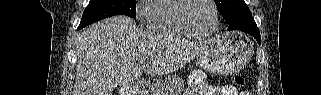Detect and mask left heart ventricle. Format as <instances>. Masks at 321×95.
<instances>
[{"label": "left heart ventricle", "instance_id": "obj_1", "mask_svg": "<svg viewBox=\"0 0 321 95\" xmlns=\"http://www.w3.org/2000/svg\"><path fill=\"white\" fill-rule=\"evenodd\" d=\"M189 22L200 32H209L214 27L213 7L208 0H195L187 10Z\"/></svg>", "mask_w": 321, "mask_h": 95}]
</instances>
